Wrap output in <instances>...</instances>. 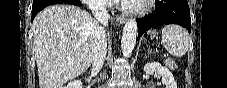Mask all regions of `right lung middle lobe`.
<instances>
[{"instance_id":"dd1d6c3e","label":"right lung middle lobe","mask_w":227,"mask_h":88,"mask_svg":"<svg viewBox=\"0 0 227 88\" xmlns=\"http://www.w3.org/2000/svg\"><path fill=\"white\" fill-rule=\"evenodd\" d=\"M68 2L71 4H81L79 0H69Z\"/></svg>"}]
</instances>
